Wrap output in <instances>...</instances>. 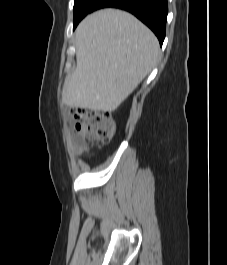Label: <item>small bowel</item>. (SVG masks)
<instances>
[{"label":"small bowel","instance_id":"small-bowel-1","mask_svg":"<svg viewBox=\"0 0 227 265\" xmlns=\"http://www.w3.org/2000/svg\"><path fill=\"white\" fill-rule=\"evenodd\" d=\"M82 149H83V148H81L80 146H78V145L76 144V146H75V150H76V152H80Z\"/></svg>","mask_w":227,"mask_h":265}]
</instances>
